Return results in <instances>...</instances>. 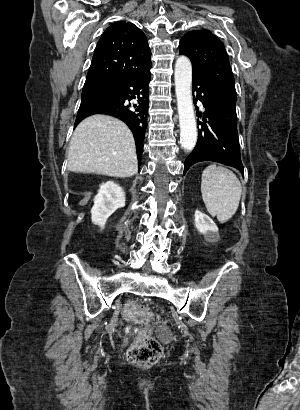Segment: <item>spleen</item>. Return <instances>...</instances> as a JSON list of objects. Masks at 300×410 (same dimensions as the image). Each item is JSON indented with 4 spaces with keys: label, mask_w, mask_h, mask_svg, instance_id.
Instances as JSON below:
<instances>
[{
    "label": "spleen",
    "mask_w": 300,
    "mask_h": 410,
    "mask_svg": "<svg viewBox=\"0 0 300 410\" xmlns=\"http://www.w3.org/2000/svg\"><path fill=\"white\" fill-rule=\"evenodd\" d=\"M201 193L209 214L224 223L236 213L242 187L231 170L213 164L202 173Z\"/></svg>",
    "instance_id": "1"
}]
</instances>
